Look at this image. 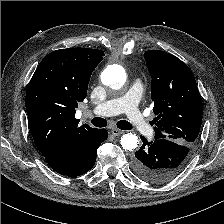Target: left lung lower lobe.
<instances>
[{
  "mask_svg": "<svg viewBox=\"0 0 224 224\" xmlns=\"http://www.w3.org/2000/svg\"><path fill=\"white\" fill-rule=\"evenodd\" d=\"M143 145L135 152L132 162L134 172L151 183H165L173 179L174 172L186 164L190 147L166 139L148 142L141 137Z\"/></svg>",
  "mask_w": 224,
  "mask_h": 224,
  "instance_id": "obj_1",
  "label": "left lung lower lobe"
}]
</instances>
